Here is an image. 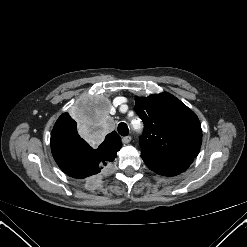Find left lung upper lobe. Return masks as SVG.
Listing matches in <instances>:
<instances>
[{
  "label": "left lung upper lobe",
  "mask_w": 247,
  "mask_h": 247,
  "mask_svg": "<svg viewBox=\"0 0 247 247\" xmlns=\"http://www.w3.org/2000/svg\"><path fill=\"white\" fill-rule=\"evenodd\" d=\"M135 111L144 122L141 155L167 160H193L202 130L196 114L169 93L137 97Z\"/></svg>",
  "instance_id": "obj_1"
}]
</instances>
